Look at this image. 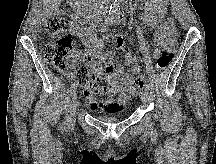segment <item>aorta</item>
I'll list each match as a JSON object with an SVG mask.
<instances>
[{
    "instance_id": "aorta-1",
    "label": "aorta",
    "mask_w": 216,
    "mask_h": 164,
    "mask_svg": "<svg viewBox=\"0 0 216 164\" xmlns=\"http://www.w3.org/2000/svg\"><path fill=\"white\" fill-rule=\"evenodd\" d=\"M111 3V15L117 16L119 14V0H108Z\"/></svg>"
}]
</instances>
